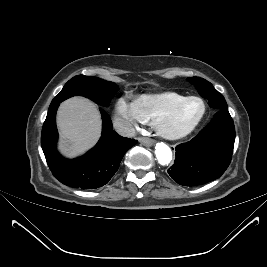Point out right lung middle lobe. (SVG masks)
I'll use <instances>...</instances> for the list:
<instances>
[{
  "label": "right lung middle lobe",
  "mask_w": 267,
  "mask_h": 267,
  "mask_svg": "<svg viewBox=\"0 0 267 267\" xmlns=\"http://www.w3.org/2000/svg\"><path fill=\"white\" fill-rule=\"evenodd\" d=\"M117 90L118 86L113 82L92 76L77 75L65 84L52 103H60L69 97L81 95L102 106H108Z\"/></svg>",
  "instance_id": "right-lung-middle-lobe-1"
}]
</instances>
